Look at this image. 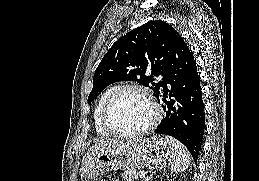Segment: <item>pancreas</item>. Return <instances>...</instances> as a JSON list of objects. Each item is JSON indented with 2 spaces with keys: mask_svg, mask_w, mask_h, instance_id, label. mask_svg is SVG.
I'll return each instance as SVG.
<instances>
[{
  "mask_svg": "<svg viewBox=\"0 0 259 181\" xmlns=\"http://www.w3.org/2000/svg\"><path fill=\"white\" fill-rule=\"evenodd\" d=\"M121 177L124 179V181H136L139 179V173L135 170H128L123 172Z\"/></svg>",
  "mask_w": 259,
  "mask_h": 181,
  "instance_id": "pancreas-1",
  "label": "pancreas"
}]
</instances>
